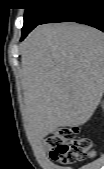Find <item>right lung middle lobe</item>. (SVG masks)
Listing matches in <instances>:
<instances>
[{
	"instance_id": "1",
	"label": "right lung middle lobe",
	"mask_w": 104,
	"mask_h": 169,
	"mask_svg": "<svg viewBox=\"0 0 104 169\" xmlns=\"http://www.w3.org/2000/svg\"><path fill=\"white\" fill-rule=\"evenodd\" d=\"M25 6L22 38H24L37 25L41 24L42 21L55 9L57 3L55 0H25Z\"/></svg>"
}]
</instances>
